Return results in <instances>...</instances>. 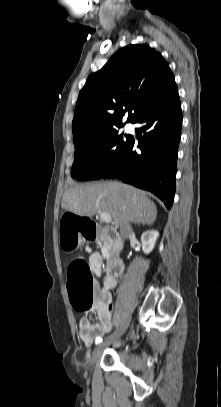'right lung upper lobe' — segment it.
Listing matches in <instances>:
<instances>
[{
  "label": "right lung upper lobe",
  "instance_id": "cb5924a9",
  "mask_svg": "<svg viewBox=\"0 0 221 407\" xmlns=\"http://www.w3.org/2000/svg\"><path fill=\"white\" fill-rule=\"evenodd\" d=\"M174 87V76L161 54L147 44L118 50L104 67L91 74L79 93L72 122L73 142L134 123Z\"/></svg>",
  "mask_w": 221,
  "mask_h": 407
}]
</instances>
